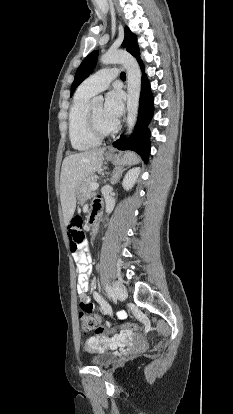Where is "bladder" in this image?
<instances>
[{"label": "bladder", "mask_w": 233, "mask_h": 414, "mask_svg": "<svg viewBox=\"0 0 233 414\" xmlns=\"http://www.w3.org/2000/svg\"><path fill=\"white\" fill-rule=\"evenodd\" d=\"M113 359L114 355L109 351H96V354L90 359V362L94 366L105 367L111 364Z\"/></svg>", "instance_id": "31cf9c89"}]
</instances>
